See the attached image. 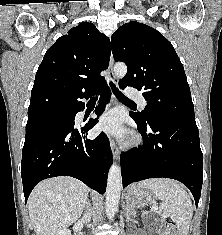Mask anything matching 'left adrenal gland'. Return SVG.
Masks as SVG:
<instances>
[{
  "label": "left adrenal gland",
  "mask_w": 222,
  "mask_h": 235,
  "mask_svg": "<svg viewBox=\"0 0 222 235\" xmlns=\"http://www.w3.org/2000/svg\"><path fill=\"white\" fill-rule=\"evenodd\" d=\"M130 214H131V211L129 210V206L126 205V207H125V215L129 216Z\"/></svg>",
  "instance_id": "1"
}]
</instances>
